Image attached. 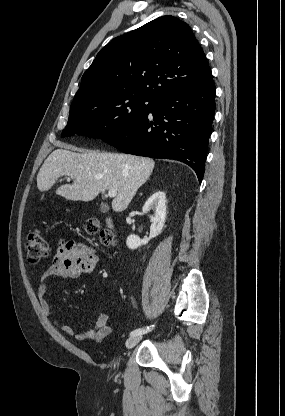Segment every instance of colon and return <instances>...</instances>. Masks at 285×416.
<instances>
[{"label":"colon","instance_id":"1","mask_svg":"<svg viewBox=\"0 0 285 416\" xmlns=\"http://www.w3.org/2000/svg\"><path fill=\"white\" fill-rule=\"evenodd\" d=\"M85 230L91 235H97L104 245H113L115 243L114 235L108 230L100 229V225L95 219H88L84 224ZM27 259L31 263H38L46 259L50 254V248L47 241L37 230L28 233L26 237Z\"/></svg>","mask_w":285,"mask_h":416}]
</instances>
